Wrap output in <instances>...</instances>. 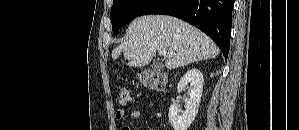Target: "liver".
Segmentation results:
<instances>
[{
	"instance_id": "1",
	"label": "liver",
	"mask_w": 299,
	"mask_h": 130,
	"mask_svg": "<svg viewBox=\"0 0 299 130\" xmlns=\"http://www.w3.org/2000/svg\"><path fill=\"white\" fill-rule=\"evenodd\" d=\"M166 49L173 55L165 61L167 69L215 58L220 51L203 32L178 18L165 15L141 16L132 21L126 40L112 51L116 60L123 54L128 66L147 65L156 51Z\"/></svg>"
}]
</instances>
